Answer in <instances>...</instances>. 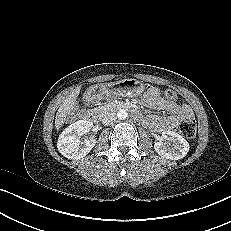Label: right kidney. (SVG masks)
Returning a JSON list of instances; mask_svg holds the SVG:
<instances>
[{"mask_svg": "<svg viewBox=\"0 0 231 231\" xmlns=\"http://www.w3.org/2000/svg\"><path fill=\"white\" fill-rule=\"evenodd\" d=\"M92 127L89 120H79L63 130L57 142L58 151L68 159H80L85 157L95 146L96 139L87 138L84 141L80 137Z\"/></svg>", "mask_w": 231, "mask_h": 231, "instance_id": "ca27d5eb", "label": "right kidney"}]
</instances>
